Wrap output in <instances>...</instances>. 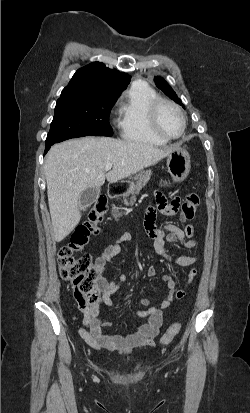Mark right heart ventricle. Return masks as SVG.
<instances>
[{
	"mask_svg": "<svg viewBox=\"0 0 250 413\" xmlns=\"http://www.w3.org/2000/svg\"><path fill=\"white\" fill-rule=\"evenodd\" d=\"M157 92L143 81L134 82L124 93L119 108V129L127 141L162 146L166 140L156 136L149 125V109Z\"/></svg>",
	"mask_w": 250,
	"mask_h": 413,
	"instance_id": "e07e8e85",
	"label": "right heart ventricle"
}]
</instances>
